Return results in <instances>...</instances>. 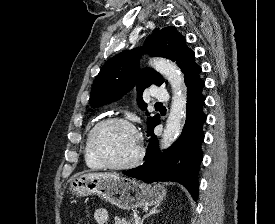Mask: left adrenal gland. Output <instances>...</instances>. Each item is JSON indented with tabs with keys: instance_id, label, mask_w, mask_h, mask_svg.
<instances>
[{
	"instance_id": "a2214340",
	"label": "left adrenal gland",
	"mask_w": 275,
	"mask_h": 224,
	"mask_svg": "<svg viewBox=\"0 0 275 224\" xmlns=\"http://www.w3.org/2000/svg\"><path fill=\"white\" fill-rule=\"evenodd\" d=\"M158 212H160V210L158 209V206L153 207L146 215H144V217L140 220L139 224H143V222L146 218H148L149 216L156 214Z\"/></svg>"
}]
</instances>
